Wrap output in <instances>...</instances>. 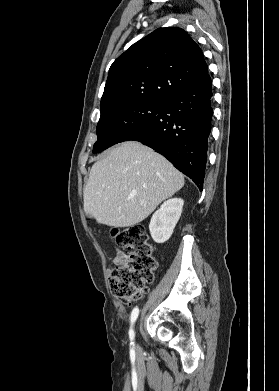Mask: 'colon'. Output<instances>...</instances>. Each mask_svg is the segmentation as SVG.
Here are the masks:
<instances>
[{"instance_id": "obj_1", "label": "colon", "mask_w": 279, "mask_h": 391, "mask_svg": "<svg viewBox=\"0 0 279 391\" xmlns=\"http://www.w3.org/2000/svg\"><path fill=\"white\" fill-rule=\"evenodd\" d=\"M112 235L124 253L110 272V289L121 302L131 304L142 297L154 280L158 268L155 247L142 225L114 229Z\"/></svg>"}]
</instances>
